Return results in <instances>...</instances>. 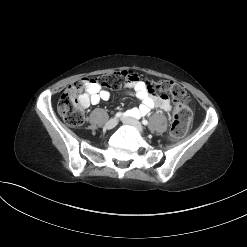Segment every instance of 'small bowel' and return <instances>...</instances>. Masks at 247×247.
<instances>
[{
	"mask_svg": "<svg viewBox=\"0 0 247 247\" xmlns=\"http://www.w3.org/2000/svg\"><path fill=\"white\" fill-rule=\"evenodd\" d=\"M86 106L88 104L96 105L100 101L110 99V92L101 88L94 80L83 79ZM126 87L131 90V93L140 100V105L128 110V114L133 117H141L147 115L153 108H159L163 111L169 112L171 110V103L167 95L155 94L152 90V84L139 79V77L132 73L130 80L126 83Z\"/></svg>",
	"mask_w": 247,
	"mask_h": 247,
	"instance_id": "c3829d8e",
	"label": "small bowel"
}]
</instances>
